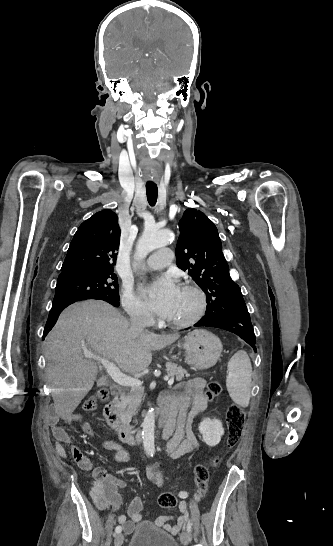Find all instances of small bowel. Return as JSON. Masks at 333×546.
<instances>
[{"instance_id": "obj_1", "label": "small bowel", "mask_w": 333, "mask_h": 546, "mask_svg": "<svg viewBox=\"0 0 333 546\" xmlns=\"http://www.w3.org/2000/svg\"><path fill=\"white\" fill-rule=\"evenodd\" d=\"M204 388V380L199 378L190 379L181 385V392L172 396H164L161 400V413L166 421L163 436L169 439L165 452L173 459L180 458L198 449V442L193 431L192 422L207 406V400L204 397ZM59 418L66 422L81 420L79 414L73 416L61 415ZM57 420V417H53L50 422L56 453L66 458L67 451L64 446L69 445L70 453L78 466L89 472L93 479L91 498L96 507L101 511L117 510L120 505V497L117 493L118 481L107 476L102 469H93L90 461L71 443L70 435L57 425ZM82 430L88 436L94 435L93 429L86 422L82 423ZM102 445L105 449L115 452L118 462L125 463L129 460L128 451L117 442L106 439L102 442ZM150 474L151 478L159 485L165 483V477L157 464L154 465ZM186 497H188V493H185ZM142 508L143 499L136 497L129 506L128 516H118V523L123 526L125 532L131 533L134 531L135 524L139 523L142 519ZM179 510L182 515L175 519L174 524L168 522L170 519H173V517L169 516L158 517L155 520V524L171 534H178L188 518L187 504L181 502Z\"/></svg>"}]
</instances>
